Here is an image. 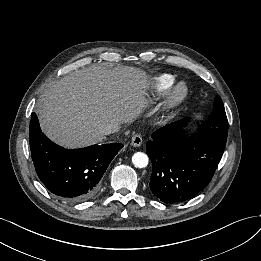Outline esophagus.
I'll return each instance as SVG.
<instances>
[{"label": "esophagus", "mask_w": 261, "mask_h": 261, "mask_svg": "<svg viewBox=\"0 0 261 261\" xmlns=\"http://www.w3.org/2000/svg\"><path fill=\"white\" fill-rule=\"evenodd\" d=\"M143 142V139L140 134H134L131 138V144L134 147H139Z\"/></svg>", "instance_id": "esophagus-1"}]
</instances>
